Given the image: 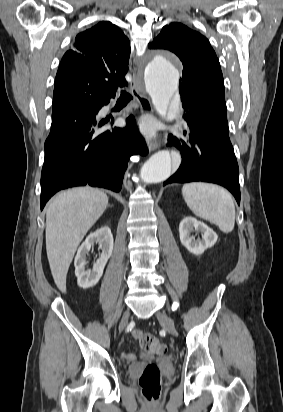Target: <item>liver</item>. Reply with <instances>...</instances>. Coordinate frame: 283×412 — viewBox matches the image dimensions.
Returning a JSON list of instances; mask_svg holds the SVG:
<instances>
[{
    "label": "liver",
    "instance_id": "1",
    "mask_svg": "<svg viewBox=\"0 0 283 412\" xmlns=\"http://www.w3.org/2000/svg\"><path fill=\"white\" fill-rule=\"evenodd\" d=\"M108 205L107 195L92 187L61 192L46 207V251L56 286L66 292V277L74 254Z\"/></svg>",
    "mask_w": 283,
    "mask_h": 412
}]
</instances>
